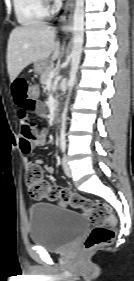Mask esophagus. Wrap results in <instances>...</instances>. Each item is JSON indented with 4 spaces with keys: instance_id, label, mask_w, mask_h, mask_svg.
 I'll return each mask as SVG.
<instances>
[{
    "instance_id": "1",
    "label": "esophagus",
    "mask_w": 134,
    "mask_h": 281,
    "mask_svg": "<svg viewBox=\"0 0 134 281\" xmlns=\"http://www.w3.org/2000/svg\"><path fill=\"white\" fill-rule=\"evenodd\" d=\"M75 0H67L64 11L59 18L60 30L70 32L72 30V18Z\"/></svg>"
}]
</instances>
